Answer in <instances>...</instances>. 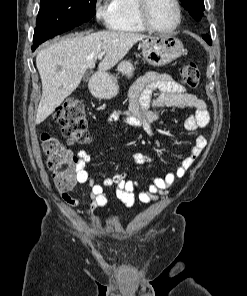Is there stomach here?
<instances>
[{
  "label": "stomach",
  "mask_w": 247,
  "mask_h": 296,
  "mask_svg": "<svg viewBox=\"0 0 247 296\" xmlns=\"http://www.w3.org/2000/svg\"><path fill=\"white\" fill-rule=\"evenodd\" d=\"M183 52V43L172 34L149 36L142 42L143 58L153 66H164L179 58ZM117 69L127 76H131L134 71L129 61H122ZM118 90L116 80L104 73L100 74L96 81L94 93L97 97L110 99L118 93Z\"/></svg>",
  "instance_id": "1"
}]
</instances>
